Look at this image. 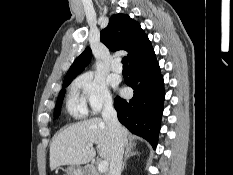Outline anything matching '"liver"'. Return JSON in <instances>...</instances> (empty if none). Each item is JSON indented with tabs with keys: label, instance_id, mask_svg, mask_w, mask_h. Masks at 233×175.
<instances>
[{
	"label": "liver",
	"instance_id": "6515ba94",
	"mask_svg": "<svg viewBox=\"0 0 233 175\" xmlns=\"http://www.w3.org/2000/svg\"><path fill=\"white\" fill-rule=\"evenodd\" d=\"M124 145L128 147V131L122 127ZM89 144H97L99 154L110 165L113 155V139L108 124L101 118H92L73 124L62 130L50 146V169L62 165L87 164L96 152Z\"/></svg>",
	"mask_w": 233,
	"mask_h": 175
}]
</instances>
